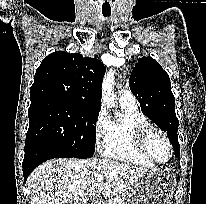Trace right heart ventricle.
I'll return each mask as SVG.
<instances>
[{
	"mask_svg": "<svg viewBox=\"0 0 206 204\" xmlns=\"http://www.w3.org/2000/svg\"><path fill=\"white\" fill-rule=\"evenodd\" d=\"M121 114L109 119L107 134L101 153L104 157L121 162L151 167L152 164L138 150L136 138L138 132L150 126L148 119L137 106L120 102Z\"/></svg>",
	"mask_w": 206,
	"mask_h": 204,
	"instance_id": "obj_1",
	"label": "right heart ventricle"
}]
</instances>
